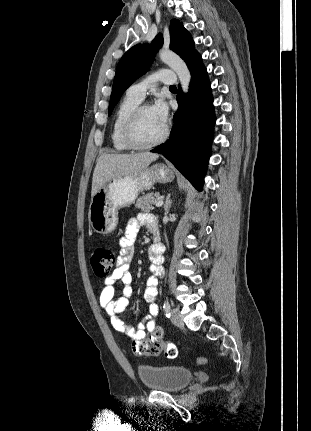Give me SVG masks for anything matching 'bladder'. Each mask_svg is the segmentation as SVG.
Wrapping results in <instances>:
<instances>
[{"instance_id": "bladder-1", "label": "bladder", "mask_w": 311, "mask_h": 431, "mask_svg": "<svg viewBox=\"0 0 311 431\" xmlns=\"http://www.w3.org/2000/svg\"><path fill=\"white\" fill-rule=\"evenodd\" d=\"M137 374L144 387L153 391L176 392L192 380L191 370L178 365H147L137 367Z\"/></svg>"}]
</instances>
